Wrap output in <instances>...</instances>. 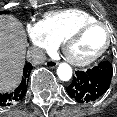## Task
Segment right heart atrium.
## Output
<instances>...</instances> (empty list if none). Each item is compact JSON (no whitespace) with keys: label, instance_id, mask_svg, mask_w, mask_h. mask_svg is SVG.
<instances>
[{"label":"right heart atrium","instance_id":"1","mask_svg":"<svg viewBox=\"0 0 117 117\" xmlns=\"http://www.w3.org/2000/svg\"><path fill=\"white\" fill-rule=\"evenodd\" d=\"M26 36L29 42L39 51H51L57 46V42L49 35L41 22L27 25Z\"/></svg>","mask_w":117,"mask_h":117}]
</instances>
